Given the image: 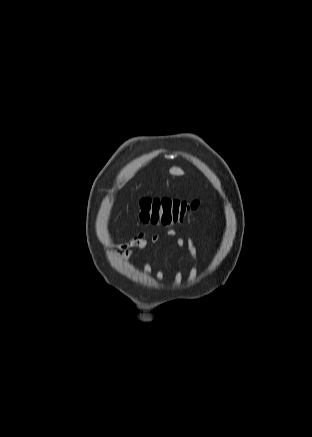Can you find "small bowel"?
Instances as JSON below:
<instances>
[{
	"label": "small bowel",
	"mask_w": 312,
	"mask_h": 437,
	"mask_svg": "<svg viewBox=\"0 0 312 437\" xmlns=\"http://www.w3.org/2000/svg\"><path fill=\"white\" fill-rule=\"evenodd\" d=\"M169 236H175L176 232L170 230L167 233ZM159 241V235L153 234L150 240H147V235L145 233H140L132 237L127 242L118 243L115 245L116 254L122 259H128L135 253L143 251L149 246H155ZM183 244L182 240H178V246L181 247Z\"/></svg>",
	"instance_id": "obj_1"
}]
</instances>
